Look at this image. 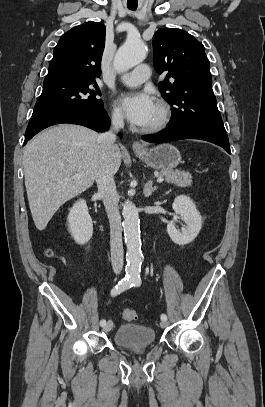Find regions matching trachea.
Segmentation results:
<instances>
[{
  "label": "trachea",
  "mask_w": 265,
  "mask_h": 407,
  "mask_svg": "<svg viewBox=\"0 0 265 407\" xmlns=\"http://www.w3.org/2000/svg\"><path fill=\"white\" fill-rule=\"evenodd\" d=\"M130 10L135 11L136 7H128Z\"/></svg>",
  "instance_id": "1"
}]
</instances>
